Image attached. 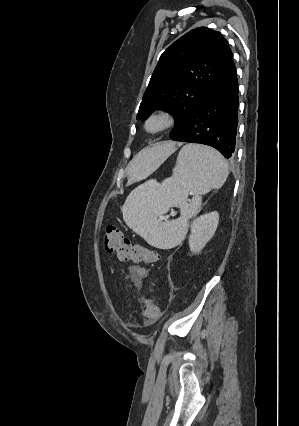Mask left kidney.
Here are the masks:
<instances>
[{
	"label": "left kidney",
	"mask_w": 299,
	"mask_h": 426,
	"mask_svg": "<svg viewBox=\"0 0 299 426\" xmlns=\"http://www.w3.org/2000/svg\"><path fill=\"white\" fill-rule=\"evenodd\" d=\"M219 222L218 212H210L196 218L191 224L189 247L191 252H200L213 237Z\"/></svg>",
	"instance_id": "left-kidney-1"
}]
</instances>
